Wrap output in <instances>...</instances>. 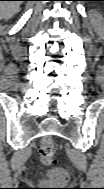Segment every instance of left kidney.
<instances>
[{
	"mask_svg": "<svg viewBox=\"0 0 104 189\" xmlns=\"http://www.w3.org/2000/svg\"><path fill=\"white\" fill-rule=\"evenodd\" d=\"M94 16L101 19V16L98 15L97 13H94Z\"/></svg>",
	"mask_w": 104,
	"mask_h": 189,
	"instance_id": "obj_1",
	"label": "left kidney"
}]
</instances>
